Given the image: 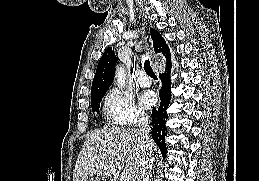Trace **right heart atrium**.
Instances as JSON below:
<instances>
[{
    "label": "right heart atrium",
    "mask_w": 259,
    "mask_h": 181,
    "mask_svg": "<svg viewBox=\"0 0 259 181\" xmlns=\"http://www.w3.org/2000/svg\"><path fill=\"white\" fill-rule=\"evenodd\" d=\"M102 111L107 124L118 128L136 126L146 119L144 111L133 97L117 88L111 89L104 96Z\"/></svg>",
    "instance_id": "1"
}]
</instances>
